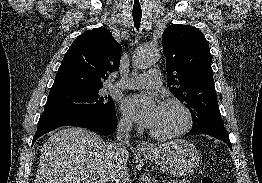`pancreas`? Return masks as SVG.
<instances>
[{"mask_svg": "<svg viewBox=\"0 0 262 183\" xmlns=\"http://www.w3.org/2000/svg\"><path fill=\"white\" fill-rule=\"evenodd\" d=\"M176 183H189V182L183 180V181L176 182Z\"/></svg>", "mask_w": 262, "mask_h": 183, "instance_id": "obj_1", "label": "pancreas"}]
</instances>
